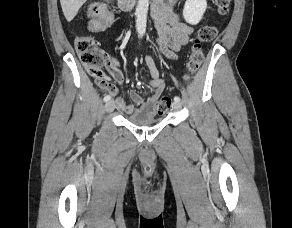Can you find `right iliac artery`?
<instances>
[{
  "instance_id": "obj_1",
  "label": "right iliac artery",
  "mask_w": 292,
  "mask_h": 228,
  "mask_svg": "<svg viewBox=\"0 0 292 228\" xmlns=\"http://www.w3.org/2000/svg\"><path fill=\"white\" fill-rule=\"evenodd\" d=\"M110 99H111V96H110V95H106V96L104 97V101H105V102L109 101Z\"/></svg>"
}]
</instances>
